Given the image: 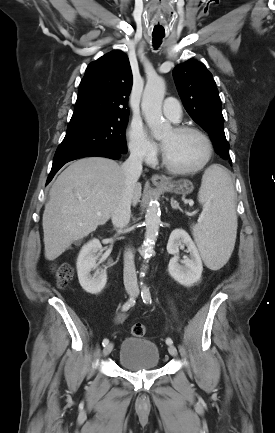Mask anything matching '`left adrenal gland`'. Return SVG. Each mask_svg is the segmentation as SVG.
Returning <instances> with one entry per match:
<instances>
[{
    "instance_id": "a2214340",
    "label": "left adrenal gland",
    "mask_w": 275,
    "mask_h": 433,
    "mask_svg": "<svg viewBox=\"0 0 275 433\" xmlns=\"http://www.w3.org/2000/svg\"><path fill=\"white\" fill-rule=\"evenodd\" d=\"M171 207H172L173 209H179V210L181 211V208H180V206H179V203H178L176 200H174L173 198H171Z\"/></svg>"
}]
</instances>
